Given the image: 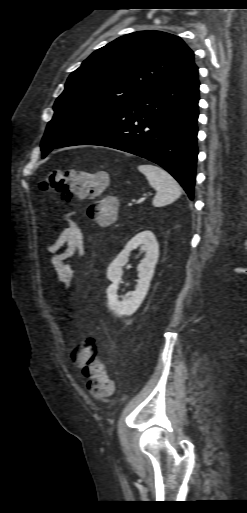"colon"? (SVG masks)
Masks as SVG:
<instances>
[{
	"label": "colon",
	"mask_w": 247,
	"mask_h": 513,
	"mask_svg": "<svg viewBox=\"0 0 247 513\" xmlns=\"http://www.w3.org/2000/svg\"><path fill=\"white\" fill-rule=\"evenodd\" d=\"M108 180L104 174H93L74 169L56 170L49 172L42 182L40 189L61 194L65 202H71L74 197L92 198L94 202L87 209L89 219L95 220L100 226L106 227L116 220L114 210L116 201L112 196L100 198L101 191ZM100 345L96 341L76 340L70 347V358L75 361V370L86 379V386L91 395L96 398H107L113 392V383L106 373L105 365L97 359Z\"/></svg>",
	"instance_id": "5ec220e1"
}]
</instances>
